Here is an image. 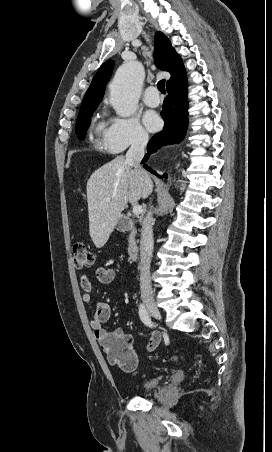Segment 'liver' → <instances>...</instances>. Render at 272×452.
I'll list each match as a JSON object with an SVG mask.
<instances>
[{"label": "liver", "instance_id": "liver-1", "mask_svg": "<svg viewBox=\"0 0 272 452\" xmlns=\"http://www.w3.org/2000/svg\"><path fill=\"white\" fill-rule=\"evenodd\" d=\"M148 187L140 172L122 155L104 164L90 176L87 182L89 231L97 248L103 247L108 241L128 201L137 203L144 197ZM108 197L110 201H106Z\"/></svg>", "mask_w": 272, "mask_h": 452}]
</instances>
